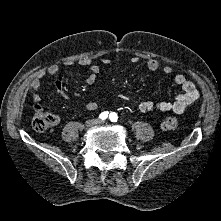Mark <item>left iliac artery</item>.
Listing matches in <instances>:
<instances>
[{"mask_svg": "<svg viewBox=\"0 0 221 221\" xmlns=\"http://www.w3.org/2000/svg\"><path fill=\"white\" fill-rule=\"evenodd\" d=\"M109 118H110V120H111L112 122H117V120H118V115H117L115 112H112V113H110Z\"/></svg>", "mask_w": 221, "mask_h": 221, "instance_id": "44dca946", "label": "left iliac artery"}]
</instances>
